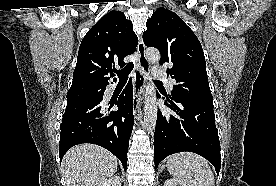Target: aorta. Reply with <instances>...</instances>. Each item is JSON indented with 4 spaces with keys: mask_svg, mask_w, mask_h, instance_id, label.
Wrapping results in <instances>:
<instances>
[{
    "mask_svg": "<svg viewBox=\"0 0 276 186\" xmlns=\"http://www.w3.org/2000/svg\"><path fill=\"white\" fill-rule=\"evenodd\" d=\"M146 59L148 62L155 64L160 60V53L155 48H148L146 50ZM157 96L155 85L149 81L145 90L144 102V127L147 131H153L157 121Z\"/></svg>",
    "mask_w": 276,
    "mask_h": 186,
    "instance_id": "obj_1",
    "label": "aorta"
}]
</instances>
